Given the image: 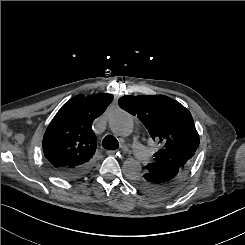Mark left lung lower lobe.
<instances>
[{
    "instance_id": "1",
    "label": "left lung lower lobe",
    "mask_w": 245,
    "mask_h": 245,
    "mask_svg": "<svg viewBox=\"0 0 245 245\" xmlns=\"http://www.w3.org/2000/svg\"><path fill=\"white\" fill-rule=\"evenodd\" d=\"M183 173L176 167H166L151 173L152 176H148V180L153 194H161L172 189L180 181Z\"/></svg>"
}]
</instances>
